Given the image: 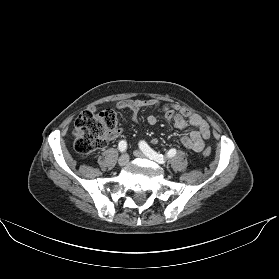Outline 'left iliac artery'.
I'll return each instance as SVG.
<instances>
[{"label":"left iliac artery","instance_id":"left-iliac-artery-1","mask_svg":"<svg viewBox=\"0 0 279 279\" xmlns=\"http://www.w3.org/2000/svg\"><path fill=\"white\" fill-rule=\"evenodd\" d=\"M139 148L143 151V153L149 157L150 159H153L157 161L158 163H165L166 159L165 156L162 154L156 153L153 149H151L148 144L145 141H140L139 143ZM176 155V150L175 149H170L167 153V158H171Z\"/></svg>","mask_w":279,"mask_h":279}]
</instances>
